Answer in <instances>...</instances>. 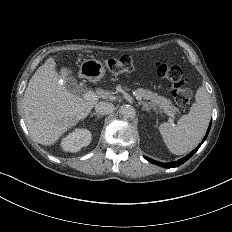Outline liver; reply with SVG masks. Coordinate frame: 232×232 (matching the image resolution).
<instances>
[{
	"label": "liver",
	"mask_w": 232,
	"mask_h": 232,
	"mask_svg": "<svg viewBox=\"0 0 232 232\" xmlns=\"http://www.w3.org/2000/svg\"><path fill=\"white\" fill-rule=\"evenodd\" d=\"M83 52L94 51L85 49ZM56 66V56L47 58L30 78L23 97L27 128L34 141L43 146L57 143L97 104L69 92L61 81L73 75L74 70L65 66L57 72ZM110 94L109 88L95 89V95L102 100Z\"/></svg>",
	"instance_id": "liver-1"
}]
</instances>
